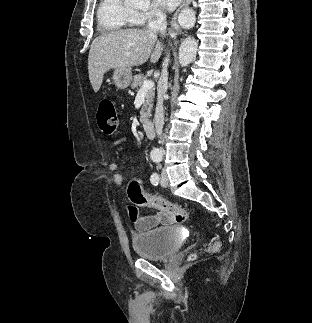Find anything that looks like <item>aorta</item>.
<instances>
[{
  "label": "aorta",
  "mask_w": 312,
  "mask_h": 323,
  "mask_svg": "<svg viewBox=\"0 0 312 323\" xmlns=\"http://www.w3.org/2000/svg\"><path fill=\"white\" fill-rule=\"evenodd\" d=\"M197 50L198 44L195 38H191V36L185 38L179 48V64H181V66H188V64H191L196 58Z\"/></svg>",
  "instance_id": "1"
}]
</instances>
